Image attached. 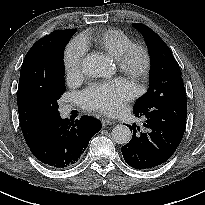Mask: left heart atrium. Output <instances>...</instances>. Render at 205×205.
<instances>
[{"instance_id":"1","label":"left heart atrium","mask_w":205,"mask_h":205,"mask_svg":"<svg viewBox=\"0 0 205 205\" xmlns=\"http://www.w3.org/2000/svg\"><path fill=\"white\" fill-rule=\"evenodd\" d=\"M135 94V85L127 79L119 78L91 84L80 94V102L86 110L116 114Z\"/></svg>"}]
</instances>
